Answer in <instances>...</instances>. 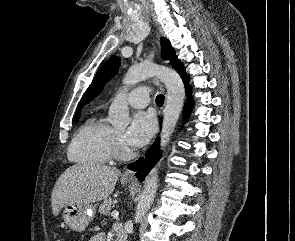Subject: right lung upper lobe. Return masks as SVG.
Segmentation results:
<instances>
[{
	"label": "right lung upper lobe",
	"instance_id": "obj_1",
	"mask_svg": "<svg viewBox=\"0 0 295 241\" xmlns=\"http://www.w3.org/2000/svg\"><path fill=\"white\" fill-rule=\"evenodd\" d=\"M80 111H81V107L80 105H78L75 118L80 117Z\"/></svg>",
	"mask_w": 295,
	"mask_h": 241
}]
</instances>
